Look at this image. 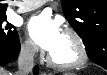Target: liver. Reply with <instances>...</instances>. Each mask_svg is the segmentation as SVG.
<instances>
[{
  "label": "liver",
  "instance_id": "1",
  "mask_svg": "<svg viewBox=\"0 0 107 75\" xmlns=\"http://www.w3.org/2000/svg\"><path fill=\"white\" fill-rule=\"evenodd\" d=\"M0 75H8V72L5 71L4 69H1L0 70Z\"/></svg>",
  "mask_w": 107,
  "mask_h": 75
}]
</instances>
